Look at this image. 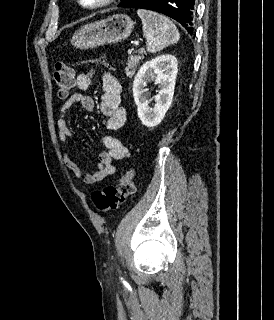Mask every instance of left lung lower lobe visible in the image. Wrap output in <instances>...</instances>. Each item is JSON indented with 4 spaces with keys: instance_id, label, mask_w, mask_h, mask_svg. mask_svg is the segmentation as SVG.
Masks as SVG:
<instances>
[{
    "instance_id": "1",
    "label": "left lung lower lobe",
    "mask_w": 274,
    "mask_h": 320,
    "mask_svg": "<svg viewBox=\"0 0 274 320\" xmlns=\"http://www.w3.org/2000/svg\"><path fill=\"white\" fill-rule=\"evenodd\" d=\"M119 7L160 12L178 21L189 33L193 32L195 0H127Z\"/></svg>"
}]
</instances>
